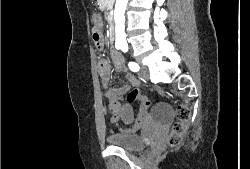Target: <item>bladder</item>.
<instances>
[{
    "mask_svg": "<svg viewBox=\"0 0 250 169\" xmlns=\"http://www.w3.org/2000/svg\"><path fill=\"white\" fill-rule=\"evenodd\" d=\"M107 142L115 148L126 150L130 153L145 149L148 145H141L139 134H110Z\"/></svg>",
    "mask_w": 250,
    "mask_h": 169,
    "instance_id": "1",
    "label": "bladder"
}]
</instances>
